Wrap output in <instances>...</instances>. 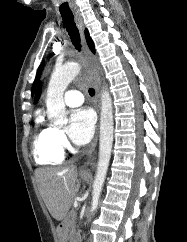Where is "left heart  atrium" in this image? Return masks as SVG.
I'll return each instance as SVG.
<instances>
[{"mask_svg": "<svg viewBox=\"0 0 187 242\" xmlns=\"http://www.w3.org/2000/svg\"><path fill=\"white\" fill-rule=\"evenodd\" d=\"M95 114L89 108H77L71 112L68 134L78 145L86 144L93 136L95 129Z\"/></svg>", "mask_w": 187, "mask_h": 242, "instance_id": "39dd6f15", "label": "left heart atrium"}]
</instances>
